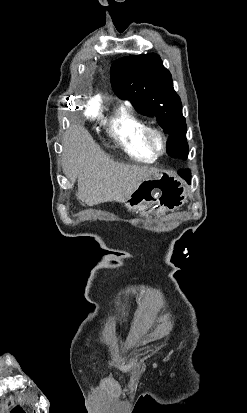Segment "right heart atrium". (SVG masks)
I'll return each mask as SVG.
<instances>
[{"mask_svg": "<svg viewBox=\"0 0 247 413\" xmlns=\"http://www.w3.org/2000/svg\"><path fill=\"white\" fill-rule=\"evenodd\" d=\"M103 107L102 100H91L90 105H86L84 108L85 117L87 119H97L100 116V109ZM85 130V129H78Z\"/></svg>", "mask_w": 247, "mask_h": 413, "instance_id": "obj_1", "label": "right heart atrium"}]
</instances>
